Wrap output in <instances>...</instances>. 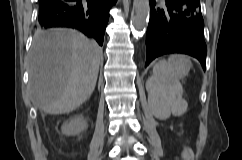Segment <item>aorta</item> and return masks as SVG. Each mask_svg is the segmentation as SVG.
<instances>
[{"label":"aorta","instance_id":"aorta-1","mask_svg":"<svg viewBox=\"0 0 242 160\" xmlns=\"http://www.w3.org/2000/svg\"><path fill=\"white\" fill-rule=\"evenodd\" d=\"M149 12V0H134V11L132 15L133 29L139 32L146 29L149 21Z\"/></svg>","mask_w":242,"mask_h":160}]
</instances>
